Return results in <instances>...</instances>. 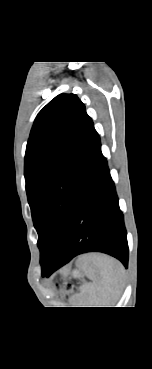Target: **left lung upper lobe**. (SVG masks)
Wrapping results in <instances>:
<instances>
[{
  "mask_svg": "<svg viewBox=\"0 0 152 369\" xmlns=\"http://www.w3.org/2000/svg\"><path fill=\"white\" fill-rule=\"evenodd\" d=\"M97 136L84 104L60 94L37 115L25 153V180L41 262L62 244L86 160Z\"/></svg>",
  "mask_w": 152,
  "mask_h": 369,
  "instance_id": "1",
  "label": "left lung upper lobe"
}]
</instances>
